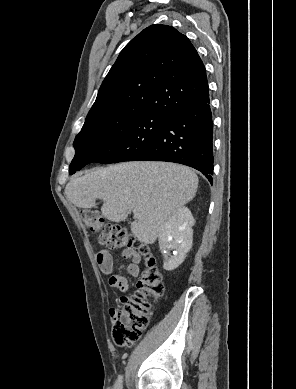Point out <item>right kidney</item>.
<instances>
[{
	"mask_svg": "<svg viewBox=\"0 0 296 389\" xmlns=\"http://www.w3.org/2000/svg\"><path fill=\"white\" fill-rule=\"evenodd\" d=\"M194 223L191 211L182 206L175 210L162 225L159 246L165 257L164 270L172 271L184 261L192 247ZM172 250L173 255H170Z\"/></svg>",
	"mask_w": 296,
	"mask_h": 389,
	"instance_id": "obj_1",
	"label": "right kidney"
}]
</instances>
